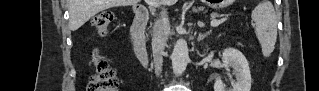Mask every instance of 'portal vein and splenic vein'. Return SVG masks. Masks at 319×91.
Masks as SVG:
<instances>
[{"instance_id":"1","label":"portal vein and splenic vein","mask_w":319,"mask_h":91,"mask_svg":"<svg viewBox=\"0 0 319 91\" xmlns=\"http://www.w3.org/2000/svg\"><path fill=\"white\" fill-rule=\"evenodd\" d=\"M149 6L152 7V8H155L158 6V4L155 2V1H152V0H148L147 1ZM222 21L221 20H212L211 21V26L212 27H217Z\"/></svg>"}]
</instances>
